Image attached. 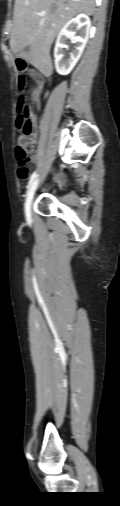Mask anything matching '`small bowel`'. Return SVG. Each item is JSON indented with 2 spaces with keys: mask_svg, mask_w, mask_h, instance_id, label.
<instances>
[{
  "mask_svg": "<svg viewBox=\"0 0 120 506\" xmlns=\"http://www.w3.org/2000/svg\"><path fill=\"white\" fill-rule=\"evenodd\" d=\"M32 77L35 79V81L37 83L36 87L32 90V93H31L32 99L36 103L40 104V93H41V88H42L43 83H44V79L37 72H32ZM33 119H34V122L36 123V117L35 116H33Z\"/></svg>",
  "mask_w": 120,
  "mask_h": 506,
  "instance_id": "small-bowel-1",
  "label": "small bowel"
}]
</instances>
